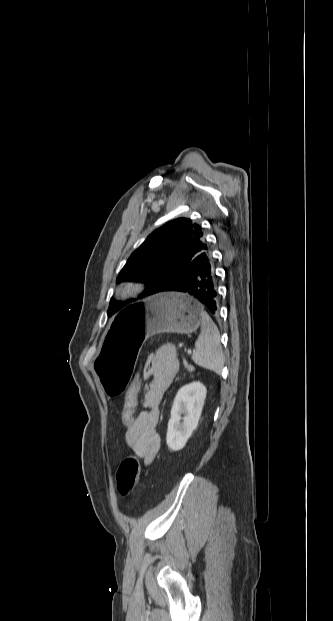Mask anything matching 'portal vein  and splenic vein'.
Masks as SVG:
<instances>
[{
	"label": "portal vein and splenic vein",
	"instance_id": "obj_1",
	"mask_svg": "<svg viewBox=\"0 0 333 621\" xmlns=\"http://www.w3.org/2000/svg\"><path fill=\"white\" fill-rule=\"evenodd\" d=\"M187 353H188V354H191V353H192V351H191V350H188V351H187Z\"/></svg>",
	"mask_w": 333,
	"mask_h": 621
}]
</instances>
